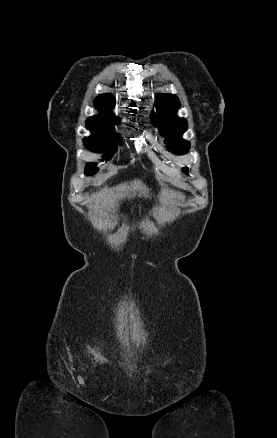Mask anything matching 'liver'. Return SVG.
I'll use <instances>...</instances> for the list:
<instances>
[{
  "mask_svg": "<svg viewBox=\"0 0 277 438\" xmlns=\"http://www.w3.org/2000/svg\"><path fill=\"white\" fill-rule=\"evenodd\" d=\"M137 184H139V182H133L132 186V190H139ZM124 188H126V186H123V188H115V190H123V192H126V190H124ZM128 194V192H127ZM110 196H114V198H117L118 194H114V190H110ZM110 196H108L109 198V202L110 200H112V198H110ZM123 196H125V194H123ZM123 196H121V198H123ZM96 198H99V196H95V198H93V202L94 200H96ZM101 202H103V198H101ZM114 202H112L111 206H113Z\"/></svg>",
  "mask_w": 277,
  "mask_h": 438,
  "instance_id": "1",
  "label": "liver"
}]
</instances>
